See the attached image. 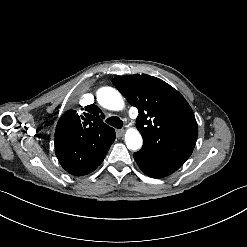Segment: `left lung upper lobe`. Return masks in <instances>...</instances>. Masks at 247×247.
<instances>
[{
  "mask_svg": "<svg viewBox=\"0 0 247 247\" xmlns=\"http://www.w3.org/2000/svg\"><path fill=\"white\" fill-rule=\"evenodd\" d=\"M127 101L138 108L136 126L143 146L184 163L198 137L194 113L185 98L163 80L150 75H128L112 80Z\"/></svg>",
  "mask_w": 247,
  "mask_h": 247,
  "instance_id": "1",
  "label": "left lung upper lobe"
}]
</instances>
